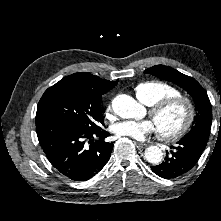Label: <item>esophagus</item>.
Instances as JSON below:
<instances>
[{
    "mask_svg": "<svg viewBox=\"0 0 221 221\" xmlns=\"http://www.w3.org/2000/svg\"><path fill=\"white\" fill-rule=\"evenodd\" d=\"M136 146H137L138 149H145V148L147 147L146 144L140 143V142H137V143H136Z\"/></svg>",
    "mask_w": 221,
    "mask_h": 221,
    "instance_id": "obj_1",
    "label": "esophagus"
}]
</instances>
